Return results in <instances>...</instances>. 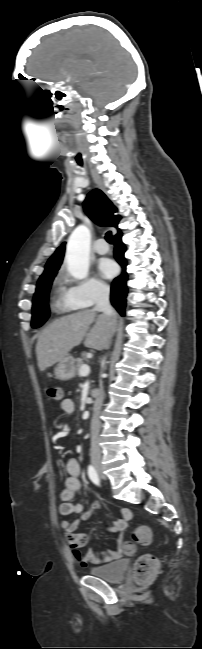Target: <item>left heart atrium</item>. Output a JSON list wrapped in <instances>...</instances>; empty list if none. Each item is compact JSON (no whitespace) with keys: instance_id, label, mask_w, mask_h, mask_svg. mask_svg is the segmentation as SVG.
Segmentation results:
<instances>
[{"instance_id":"1","label":"left heart atrium","mask_w":202,"mask_h":649,"mask_svg":"<svg viewBox=\"0 0 202 649\" xmlns=\"http://www.w3.org/2000/svg\"><path fill=\"white\" fill-rule=\"evenodd\" d=\"M99 271L103 277L111 278L116 273V266L111 260L104 259L99 264Z\"/></svg>"}]
</instances>
